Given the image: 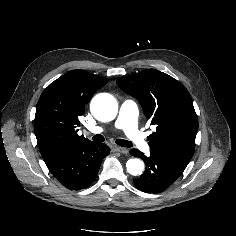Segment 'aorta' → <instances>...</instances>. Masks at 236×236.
<instances>
[{"instance_id": "1", "label": "aorta", "mask_w": 236, "mask_h": 236, "mask_svg": "<svg viewBox=\"0 0 236 236\" xmlns=\"http://www.w3.org/2000/svg\"><path fill=\"white\" fill-rule=\"evenodd\" d=\"M91 112L93 116L101 121L113 120L118 112L116 99L107 93L96 95L91 101ZM127 171L133 176L142 174L144 163L137 158L130 159L126 163Z\"/></svg>"}]
</instances>
